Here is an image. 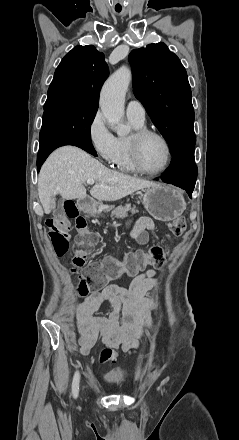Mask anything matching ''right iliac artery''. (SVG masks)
<instances>
[{
	"label": "right iliac artery",
	"instance_id": "1",
	"mask_svg": "<svg viewBox=\"0 0 239 440\" xmlns=\"http://www.w3.org/2000/svg\"><path fill=\"white\" fill-rule=\"evenodd\" d=\"M79 378V372H76L72 382V393L75 398L78 396L79 392Z\"/></svg>",
	"mask_w": 239,
	"mask_h": 440
}]
</instances>
